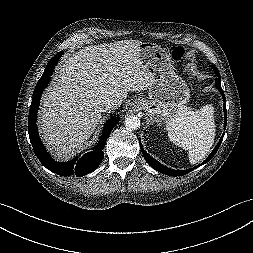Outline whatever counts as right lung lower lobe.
I'll list each match as a JSON object with an SVG mask.
<instances>
[{
    "mask_svg": "<svg viewBox=\"0 0 253 253\" xmlns=\"http://www.w3.org/2000/svg\"><path fill=\"white\" fill-rule=\"evenodd\" d=\"M62 54L63 52H59L48 62L42 77L37 82L36 88L33 92L32 103L28 116V132L35 154L47 169L60 176H70L75 174L76 176L81 177L94 171L103 160L104 152L102 150L110 132L119 122V117L111 118L107 121L101 139L93 148L92 152L85 154L79 160L77 158L68 162H56L53 160L39 139L36 118L42 92L49 83L54 67Z\"/></svg>",
    "mask_w": 253,
    "mask_h": 253,
    "instance_id": "right-lung-lower-lobe-1",
    "label": "right lung lower lobe"
}]
</instances>
